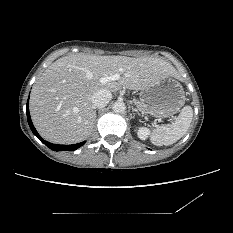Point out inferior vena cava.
Instances as JSON below:
<instances>
[{
    "label": "inferior vena cava",
    "instance_id": "obj_1",
    "mask_svg": "<svg viewBox=\"0 0 233 233\" xmlns=\"http://www.w3.org/2000/svg\"><path fill=\"white\" fill-rule=\"evenodd\" d=\"M112 98L110 91L106 89H100L96 91L91 98L92 107L94 109L104 108Z\"/></svg>",
    "mask_w": 233,
    "mask_h": 233
}]
</instances>
